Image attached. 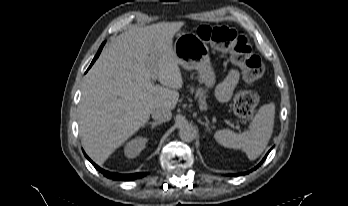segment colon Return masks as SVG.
<instances>
[{
	"label": "colon",
	"mask_w": 348,
	"mask_h": 206,
	"mask_svg": "<svg viewBox=\"0 0 348 206\" xmlns=\"http://www.w3.org/2000/svg\"><path fill=\"white\" fill-rule=\"evenodd\" d=\"M198 37L213 44L219 51L228 53L240 67L243 79L257 81L264 72L261 57L253 52L249 39L226 26L201 25L197 29ZM258 105V97L252 90L241 88L236 91L233 108L237 116L248 118L253 115Z\"/></svg>",
	"instance_id": "5ec220e1"
}]
</instances>
